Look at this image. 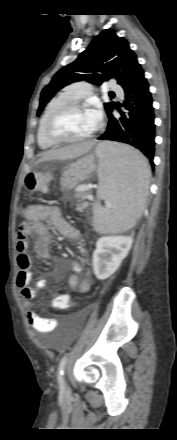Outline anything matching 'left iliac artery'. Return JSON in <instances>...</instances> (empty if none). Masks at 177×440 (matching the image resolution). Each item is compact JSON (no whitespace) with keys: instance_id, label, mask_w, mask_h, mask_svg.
Listing matches in <instances>:
<instances>
[{"instance_id":"left-iliac-artery-1","label":"left iliac artery","mask_w":177,"mask_h":440,"mask_svg":"<svg viewBox=\"0 0 177 440\" xmlns=\"http://www.w3.org/2000/svg\"><path fill=\"white\" fill-rule=\"evenodd\" d=\"M66 362H67V356H64L61 359L59 367H58V383H59L60 388H62V389L65 387V384H64V370H65Z\"/></svg>"}]
</instances>
